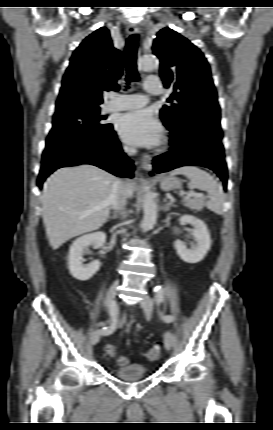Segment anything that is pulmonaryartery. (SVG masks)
Here are the masks:
<instances>
[{"label":"pulmonary artery","instance_id":"1","mask_svg":"<svg viewBox=\"0 0 273 430\" xmlns=\"http://www.w3.org/2000/svg\"><path fill=\"white\" fill-rule=\"evenodd\" d=\"M145 90L149 94H161V84L156 78H148L145 82ZM148 102V98L142 94L117 95L105 105L108 112L123 111L141 108Z\"/></svg>","mask_w":273,"mask_h":430}]
</instances>
